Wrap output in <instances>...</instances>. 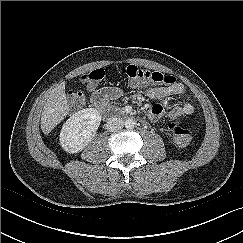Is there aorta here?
Returning <instances> with one entry per match:
<instances>
[{
  "label": "aorta",
  "instance_id": "aorta-1",
  "mask_svg": "<svg viewBox=\"0 0 243 243\" xmlns=\"http://www.w3.org/2000/svg\"><path fill=\"white\" fill-rule=\"evenodd\" d=\"M135 124H136V122L133 119H131V118L126 119L125 122H124V125H125V127L127 129L134 128L135 127Z\"/></svg>",
  "mask_w": 243,
  "mask_h": 243
}]
</instances>
